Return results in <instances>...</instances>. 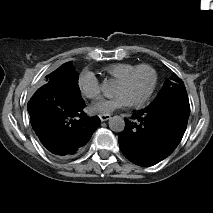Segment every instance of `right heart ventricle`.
Segmentation results:
<instances>
[{
    "label": "right heart ventricle",
    "instance_id": "1",
    "mask_svg": "<svg viewBox=\"0 0 213 213\" xmlns=\"http://www.w3.org/2000/svg\"><path fill=\"white\" fill-rule=\"evenodd\" d=\"M138 66L130 63H121L115 66L107 68V72L115 79L120 80L121 78L127 76L132 70Z\"/></svg>",
    "mask_w": 213,
    "mask_h": 213
}]
</instances>
